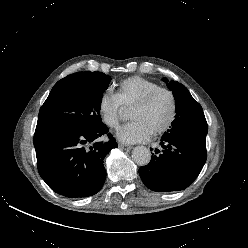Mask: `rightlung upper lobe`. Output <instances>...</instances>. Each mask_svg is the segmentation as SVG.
<instances>
[{
	"label": "right lung upper lobe",
	"instance_id": "cb5924a9",
	"mask_svg": "<svg viewBox=\"0 0 248 248\" xmlns=\"http://www.w3.org/2000/svg\"><path fill=\"white\" fill-rule=\"evenodd\" d=\"M78 73H80V72L68 75L67 77H65V78L61 79L60 81H58L54 85V87L52 88L50 93H54L57 90H59L60 88H62L63 86H65L66 84L70 83L72 81V79L78 75Z\"/></svg>",
	"mask_w": 248,
	"mask_h": 248
}]
</instances>
